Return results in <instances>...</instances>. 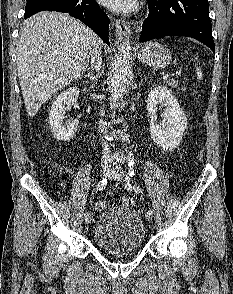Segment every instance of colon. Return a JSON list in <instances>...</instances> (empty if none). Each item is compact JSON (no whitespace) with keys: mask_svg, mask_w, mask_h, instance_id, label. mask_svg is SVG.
<instances>
[{"mask_svg":"<svg viewBox=\"0 0 233 294\" xmlns=\"http://www.w3.org/2000/svg\"><path fill=\"white\" fill-rule=\"evenodd\" d=\"M133 204H134V201L130 197H123L120 200V205L123 206V207H132Z\"/></svg>","mask_w":233,"mask_h":294,"instance_id":"1","label":"colon"}]
</instances>
